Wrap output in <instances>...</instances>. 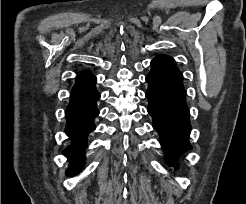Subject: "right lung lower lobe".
<instances>
[{
	"label": "right lung lower lobe",
	"mask_w": 246,
	"mask_h": 204,
	"mask_svg": "<svg viewBox=\"0 0 246 204\" xmlns=\"http://www.w3.org/2000/svg\"><path fill=\"white\" fill-rule=\"evenodd\" d=\"M96 77L88 71L78 74L66 110V134L73 140L65 150L71 162L66 174H77L84 165L83 149L88 134L95 129L94 118L99 114L96 102L100 94L95 88Z\"/></svg>",
	"instance_id": "obj_1"
}]
</instances>
